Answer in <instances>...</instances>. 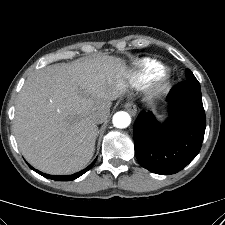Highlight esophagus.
<instances>
[{
    "label": "esophagus",
    "mask_w": 225,
    "mask_h": 225,
    "mask_svg": "<svg viewBox=\"0 0 225 225\" xmlns=\"http://www.w3.org/2000/svg\"><path fill=\"white\" fill-rule=\"evenodd\" d=\"M125 109L132 115L135 116L137 113V108L132 102H127L125 104Z\"/></svg>",
    "instance_id": "34e87169"
}]
</instances>
